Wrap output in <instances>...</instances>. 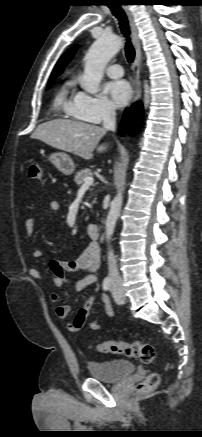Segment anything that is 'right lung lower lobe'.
<instances>
[{
    "label": "right lung lower lobe",
    "mask_w": 202,
    "mask_h": 437,
    "mask_svg": "<svg viewBox=\"0 0 202 437\" xmlns=\"http://www.w3.org/2000/svg\"><path fill=\"white\" fill-rule=\"evenodd\" d=\"M142 119L143 106L140 102L133 104L131 108H126L119 126L120 134H125L127 129L130 132H137L141 127Z\"/></svg>",
    "instance_id": "obj_1"
}]
</instances>
